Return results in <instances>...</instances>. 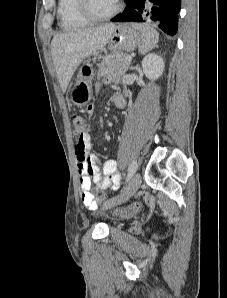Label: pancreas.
<instances>
[{"instance_id":"pancreas-1","label":"pancreas","mask_w":227,"mask_h":298,"mask_svg":"<svg viewBox=\"0 0 227 298\" xmlns=\"http://www.w3.org/2000/svg\"><path fill=\"white\" fill-rule=\"evenodd\" d=\"M127 56L128 55L124 53H113L104 57L99 64L97 78L100 79L107 73L125 74L131 64V62L126 60Z\"/></svg>"}]
</instances>
